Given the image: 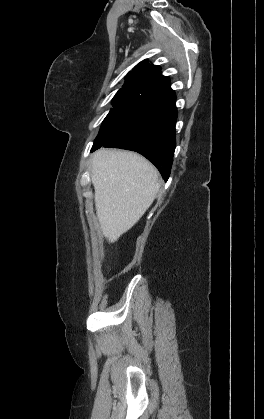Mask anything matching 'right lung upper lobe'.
Here are the masks:
<instances>
[{"label":"right lung upper lobe","mask_w":264,"mask_h":419,"mask_svg":"<svg viewBox=\"0 0 264 419\" xmlns=\"http://www.w3.org/2000/svg\"><path fill=\"white\" fill-rule=\"evenodd\" d=\"M123 88L144 94L150 98L174 93L170 80L161 74L160 67L150 65L147 60L140 62L125 78Z\"/></svg>","instance_id":"obj_1"}]
</instances>
